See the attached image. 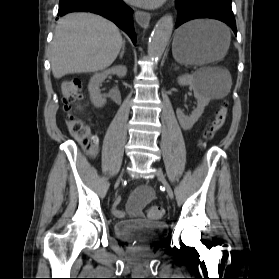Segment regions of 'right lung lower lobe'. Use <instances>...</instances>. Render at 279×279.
Wrapping results in <instances>:
<instances>
[{
	"label": "right lung lower lobe",
	"mask_w": 279,
	"mask_h": 279,
	"mask_svg": "<svg viewBox=\"0 0 279 279\" xmlns=\"http://www.w3.org/2000/svg\"><path fill=\"white\" fill-rule=\"evenodd\" d=\"M92 12L113 21L136 42L133 11L122 0H60L58 15L70 12Z\"/></svg>",
	"instance_id": "obj_1"
}]
</instances>
